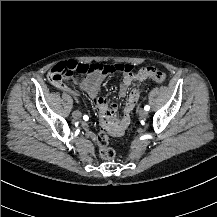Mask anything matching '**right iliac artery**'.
I'll use <instances>...</instances> for the list:
<instances>
[{"mask_svg": "<svg viewBox=\"0 0 217 217\" xmlns=\"http://www.w3.org/2000/svg\"><path fill=\"white\" fill-rule=\"evenodd\" d=\"M83 120H84V121H89V116L84 115V116H83Z\"/></svg>", "mask_w": 217, "mask_h": 217, "instance_id": "obj_1", "label": "right iliac artery"}]
</instances>
